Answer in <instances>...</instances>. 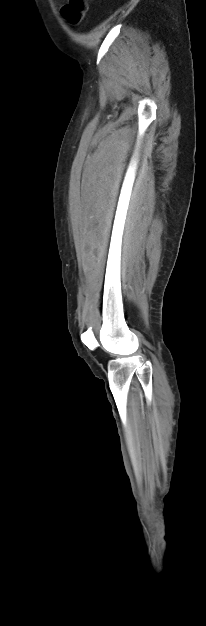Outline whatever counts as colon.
Listing matches in <instances>:
<instances>
[{
	"mask_svg": "<svg viewBox=\"0 0 206 626\" xmlns=\"http://www.w3.org/2000/svg\"><path fill=\"white\" fill-rule=\"evenodd\" d=\"M86 9V0H70L69 3L62 8V13L71 23H78L83 18Z\"/></svg>",
	"mask_w": 206,
	"mask_h": 626,
	"instance_id": "1",
	"label": "colon"
}]
</instances>
